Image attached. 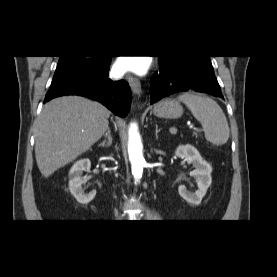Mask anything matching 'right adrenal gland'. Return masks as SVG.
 <instances>
[{
  "label": "right adrenal gland",
  "instance_id": "obj_1",
  "mask_svg": "<svg viewBox=\"0 0 277 277\" xmlns=\"http://www.w3.org/2000/svg\"><path fill=\"white\" fill-rule=\"evenodd\" d=\"M107 139V140H106ZM112 144V136H111V131L108 128L106 133H105V140L99 144L101 147H108Z\"/></svg>",
  "mask_w": 277,
  "mask_h": 277
}]
</instances>
